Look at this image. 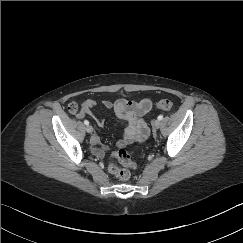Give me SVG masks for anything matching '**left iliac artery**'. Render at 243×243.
<instances>
[{
	"label": "left iliac artery",
	"instance_id": "left-iliac-artery-1",
	"mask_svg": "<svg viewBox=\"0 0 243 243\" xmlns=\"http://www.w3.org/2000/svg\"><path fill=\"white\" fill-rule=\"evenodd\" d=\"M162 119H163V115L161 114L158 116V120H162Z\"/></svg>",
	"mask_w": 243,
	"mask_h": 243
}]
</instances>
